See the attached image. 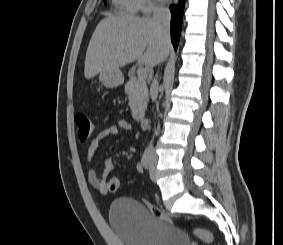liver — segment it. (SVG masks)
<instances>
[{
  "label": "liver",
  "mask_w": 283,
  "mask_h": 245,
  "mask_svg": "<svg viewBox=\"0 0 283 245\" xmlns=\"http://www.w3.org/2000/svg\"><path fill=\"white\" fill-rule=\"evenodd\" d=\"M171 43L153 19L108 15L97 25L89 42L84 75L95 77L104 69L119 68L138 60L149 67L164 61Z\"/></svg>",
  "instance_id": "6515ba94"
}]
</instances>
